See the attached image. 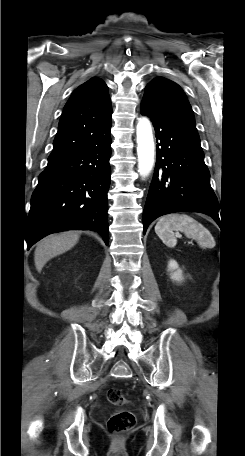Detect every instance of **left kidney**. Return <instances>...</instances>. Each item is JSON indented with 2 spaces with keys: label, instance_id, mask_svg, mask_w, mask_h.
<instances>
[{
  "label": "left kidney",
  "instance_id": "obj_1",
  "mask_svg": "<svg viewBox=\"0 0 245 456\" xmlns=\"http://www.w3.org/2000/svg\"><path fill=\"white\" fill-rule=\"evenodd\" d=\"M168 268L172 271L171 279L178 282L183 280L182 271L179 269V266L175 260L169 261Z\"/></svg>",
  "mask_w": 245,
  "mask_h": 456
}]
</instances>
